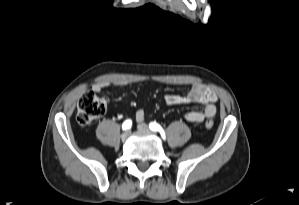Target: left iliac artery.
Returning a JSON list of instances; mask_svg holds the SVG:
<instances>
[{"label":"left iliac artery","mask_w":299,"mask_h":205,"mask_svg":"<svg viewBox=\"0 0 299 205\" xmlns=\"http://www.w3.org/2000/svg\"><path fill=\"white\" fill-rule=\"evenodd\" d=\"M149 128L152 131L159 132L160 135L162 136V138L165 139V132H164L163 128L159 124H157L156 122H151L149 124Z\"/></svg>","instance_id":"1"}]
</instances>
